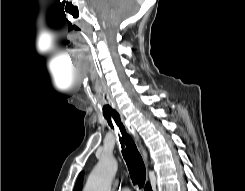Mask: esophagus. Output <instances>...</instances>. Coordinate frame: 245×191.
I'll list each match as a JSON object with an SVG mask.
<instances>
[{
  "instance_id": "1",
  "label": "esophagus",
  "mask_w": 245,
  "mask_h": 191,
  "mask_svg": "<svg viewBox=\"0 0 245 191\" xmlns=\"http://www.w3.org/2000/svg\"><path fill=\"white\" fill-rule=\"evenodd\" d=\"M120 117H121V121L123 122V124L125 125V127L129 130V132L135 137V139L140 143V147H141V151L143 154V158L146 162V165L148 166V155L146 150L144 149V147L141 145V142L139 140L138 134L135 130V128L125 119V117L123 116V114L118 111Z\"/></svg>"
}]
</instances>
